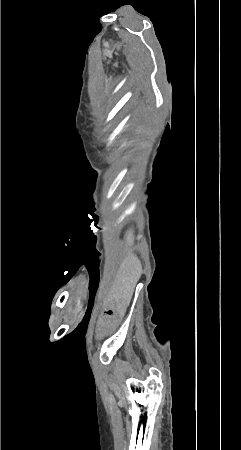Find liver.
I'll use <instances>...</instances> for the list:
<instances>
[{
  "label": "liver",
  "instance_id": "obj_1",
  "mask_svg": "<svg viewBox=\"0 0 241 450\" xmlns=\"http://www.w3.org/2000/svg\"><path fill=\"white\" fill-rule=\"evenodd\" d=\"M126 246H133L134 232L128 230L125 234ZM142 266L139 258L134 256L132 252H128L120 264V268L115 276V280L111 286V296L118 304L129 306L133 296L135 286L141 278Z\"/></svg>",
  "mask_w": 241,
  "mask_h": 450
}]
</instances>
